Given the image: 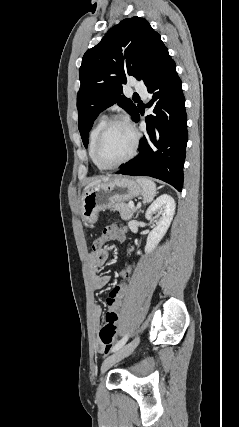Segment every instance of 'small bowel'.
<instances>
[{
	"mask_svg": "<svg viewBox=\"0 0 239 427\" xmlns=\"http://www.w3.org/2000/svg\"><path fill=\"white\" fill-rule=\"evenodd\" d=\"M108 255L107 249H101L98 252H92L87 255V263L91 272V285L95 291L103 289L109 282V276L98 273L99 269L106 263ZM93 315L96 320H100L102 316V307L98 302L93 306ZM96 348L100 352L104 350L101 341L97 342Z\"/></svg>",
	"mask_w": 239,
	"mask_h": 427,
	"instance_id": "1",
	"label": "small bowel"
}]
</instances>
